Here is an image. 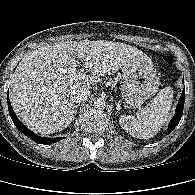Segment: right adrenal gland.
Listing matches in <instances>:
<instances>
[{
    "label": "right adrenal gland",
    "instance_id": "obj_1",
    "mask_svg": "<svg viewBox=\"0 0 195 195\" xmlns=\"http://www.w3.org/2000/svg\"><path fill=\"white\" fill-rule=\"evenodd\" d=\"M79 106H80V104L75 105L74 116L76 115V113H77V108H78Z\"/></svg>",
    "mask_w": 195,
    "mask_h": 195
}]
</instances>
